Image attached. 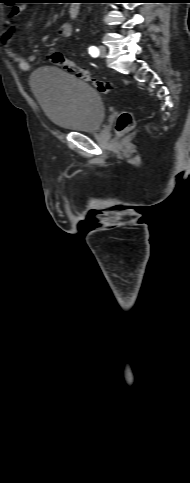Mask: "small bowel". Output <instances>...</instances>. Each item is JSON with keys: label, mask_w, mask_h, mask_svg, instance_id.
<instances>
[{"label": "small bowel", "mask_w": 190, "mask_h": 483, "mask_svg": "<svg viewBox=\"0 0 190 483\" xmlns=\"http://www.w3.org/2000/svg\"><path fill=\"white\" fill-rule=\"evenodd\" d=\"M28 9H29V6H27V5L20 6L18 8H14L12 10V15L16 16L17 14H19L23 11H26ZM14 32H15V25L12 21H9L6 25V27L4 28V30L2 31L1 35H0V40H1L2 44L4 45V49H5L7 56L13 62L17 63V65L19 66V68L22 71H28L30 69L31 62L34 59V57L33 56L22 57V56L18 55L11 48L10 41L12 39ZM72 33H73V27L70 23H64L59 27L58 35L62 39L70 38L72 36Z\"/></svg>", "instance_id": "c3829d8e"}]
</instances>
